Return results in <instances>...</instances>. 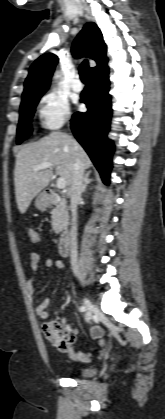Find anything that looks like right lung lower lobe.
<instances>
[{
    "mask_svg": "<svg viewBox=\"0 0 165 419\" xmlns=\"http://www.w3.org/2000/svg\"><path fill=\"white\" fill-rule=\"evenodd\" d=\"M109 69L89 76L87 87L81 94L86 113L76 112L71 119V129L75 138L83 146L103 179L108 182L111 170L113 143L107 138L112 115L109 94Z\"/></svg>",
    "mask_w": 165,
    "mask_h": 419,
    "instance_id": "obj_1",
    "label": "right lung lower lobe"
}]
</instances>
